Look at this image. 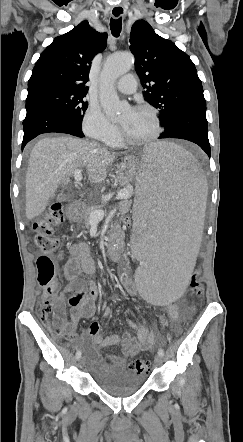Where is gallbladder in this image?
<instances>
[{
  "instance_id": "obj_1",
  "label": "gallbladder",
  "mask_w": 243,
  "mask_h": 442,
  "mask_svg": "<svg viewBox=\"0 0 243 442\" xmlns=\"http://www.w3.org/2000/svg\"><path fill=\"white\" fill-rule=\"evenodd\" d=\"M52 200H59V201H65L66 199H67V195L66 194H64L63 192H61L60 194H58V196L57 195H52Z\"/></svg>"
}]
</instances>
